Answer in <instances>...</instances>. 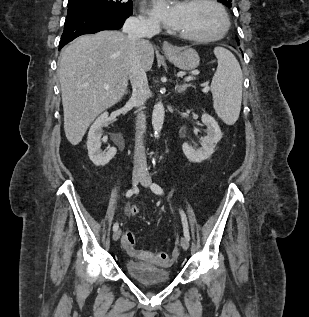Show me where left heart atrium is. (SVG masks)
I'll use <instances>...</instances> for the list:
<instances>
[{"instance_id": "1", "label": "left heart atrium", "mask_w": 309, "mask_h": 317, "mask_svg": "<svg viewBox=\"0 0 309 317\" xmlns=\"http://www.w3.org/2000/svg\"><path fill=\"white\" fill-rule=\"evenodd\" d=\"M151 13L167 27L176 29L180 19L181 5L171 6L166 0H154Z\"/></svg>"}]
</instances>
